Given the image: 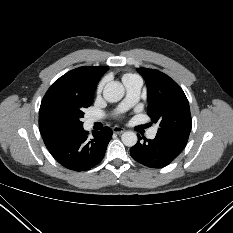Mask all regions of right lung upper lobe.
<instances>
[{
    "label": "right lung upper lobe",
    "instance_id": "right-lung-upper-lobe-1",
    "mask_svg": "<svg viewBox=\"0 0 233 233\" xmlns=\"http://www.w3.org/2000/svg\"><path fill=\"white\" fill-rule=\"evenodd\" d=\"M107 70L104 66L79 67L51 85L39 110V128L46 146L75 130L57 120V111L75 100L94 98L96 85Z\"/></svg>",
    "mask_w": 233,
    "mask_h": 233
}]
</instances>
